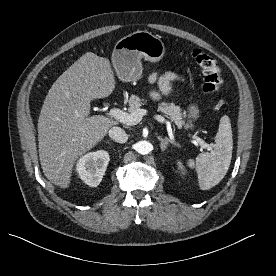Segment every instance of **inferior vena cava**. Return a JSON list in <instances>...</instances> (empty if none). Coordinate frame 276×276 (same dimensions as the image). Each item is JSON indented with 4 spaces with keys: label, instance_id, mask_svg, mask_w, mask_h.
<instances>
[{
    "label": "inferior vena cava",
    "instance_id": "1",
    "mask_svg": "<svg viewBox=\"0 0 276 276\" xmlns=\"http://www.w3.org/2000/svg\"><path fill=\"white\" fill-rule=\"evenodd\" d=\"M109 136L112 140L118 143H125L128 140V135L126 132L120 127H112L109 130Z\"/></svg>",
    "mask_w": 276,
    "mask_h": 276
}]
</instances>
